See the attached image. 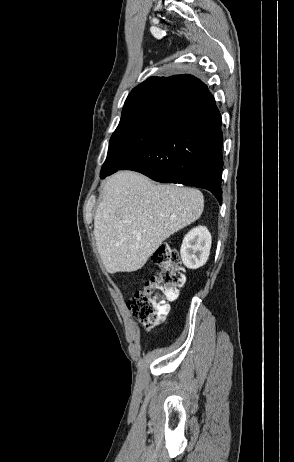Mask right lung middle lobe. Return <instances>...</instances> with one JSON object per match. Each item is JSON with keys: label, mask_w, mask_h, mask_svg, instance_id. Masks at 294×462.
Listing matches in <instances>:
<instances>
[{"label": "right lung middle lobe", "mask_w": 294, "mask_h": 462, "mask_svg": "<svg viewBox=\"0 0 294 462\" xmlns=\"http://www.w3.org/2000/svg\"><path fill=\"white\" fill-rule=\"evenodd\" d=\"M186 105L184 97L168 94L124 109L100 176L119 170L143 145L164 131Z\"/></svg>", "instance_id": "1"}]
</instances>
